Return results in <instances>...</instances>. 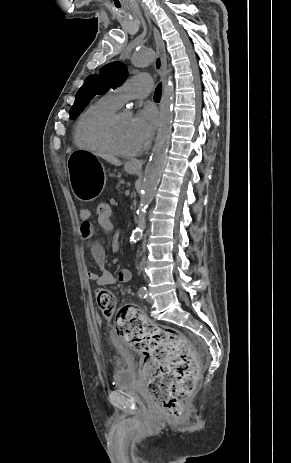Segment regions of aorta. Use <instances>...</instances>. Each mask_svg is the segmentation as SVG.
Instances as JSON below:
<instances>
[{
    "label": "aorta",
    "mask_w": 291,
    "mask_h": 463,
    "mask_svg": "<svg viewBox=\"0 0 291 463\" xmlns=\"http://www.w3.org/2000/svg\"><path fill=\"white\" fill-rule=\"evenodd\" d=\"M155 58L151 48H145L136 52L132 57V64L135 67L149 66ZM174 87L168 85L162 99L160 109V123L149 161L145 169V177L142 186L141 200L137 210V227L133 230L130 242L140 240L146 226L145 212L152 202L155 191L165 166V160L171 137V124L173 120Z\"/></svg>",
    "instance_id": "aorta-1"
}]
</instances>
